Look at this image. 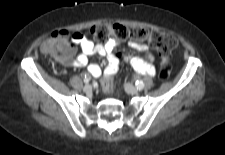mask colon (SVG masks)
Returning a JSON list of instances; mask_svg holds the SVG:
<instances>
[{
	"instance_id": "5ec220e1",
	"label": "colon",
	"mask_w": 225,
	"mask_h": 155,
	"mask_svg": "<svg viewBox=\"0 0 225 155\" xmlns=\"http://www.w3.org/2000/svg\"><path fill=\"white\" fill-rule=\"evenodd\" d=\"M93 38L99 42H107L114 40L116 43H124L132 40L136 42H148L154 49L161 54H169L177 46V40L172 35L159 31H152L144 28L129 29L124 25L116 23H102L95 25L90 30ZM71 34L65 30L53 32L42 44V51L49 56L60 60H67L73 53V45L71 42ZM124 59L120 52H116L109 61L119 66ZM107 66V65H106ZM105 66V68H106ZM104 68V69H105ZM174 71V66L170 62L162 64L159 71V77L166 79ZM104 95L109 96L112 93L113 83L109 79H105L101 83Z\"/></svg>"
}]
</instances>
